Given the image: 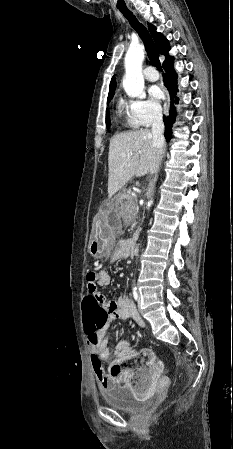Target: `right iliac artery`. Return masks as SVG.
I'll use <instances>...</instances> for the list:
<instances>
[{"label":"right iliac artery","mask_w":233,"mask_h":449,"mask_svg":"<svg viewBox=\"0 0 233 449\" xmlns=\"http://www.w3.org/2000/svg\"><path fill=\"white\" fill-rule=\"evenodd\" d=\"M133 297H134V299L136 301L138 300V293H137V288L136 287L133 288Z\"/></svg>","instance_id":"1"}]
</instances>
